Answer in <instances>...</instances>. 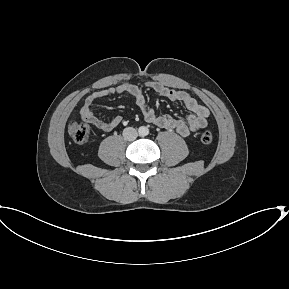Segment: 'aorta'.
Returning a JSON list of instances; mask_svg holds the SVG:
<instances>
[{
	"instance_id": "obj_1",
	"label": "aorta",
	"mask_w": 289,
	"mask_h": 289,
	"mask_svg": "<svg viewBox=\"0 0 289 289\" xmlns=\"http://www.w3.org/2000/svg\"><path fill=\"white\" fill-rule=\"evenodd\" d=\"M148 132H149V130H148V128L147 127H140L139 128V134L141 135V136H146L147 134H148Z\"/></svg>"
}]
</instances>
